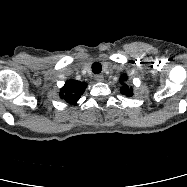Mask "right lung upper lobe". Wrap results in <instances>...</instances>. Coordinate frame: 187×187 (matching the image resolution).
<instances>
[{"mask_svg": "<svg viewBox=\"0 0 187 187\" xmlns=\"http://www.w3.org/2000/svg\"><path fill=\"white\" fill-rule=\"evenodd\" d=\"M87 84L77 80H69L61 89V97L70 104H76L81 95L83 94Z\"/></svg>", "mask_w": 187, "mask_h": 187, "instance_id": "cb5924a9", "label": "right lung upper lobe"}]
</instances>
